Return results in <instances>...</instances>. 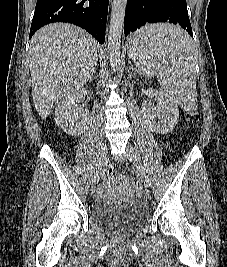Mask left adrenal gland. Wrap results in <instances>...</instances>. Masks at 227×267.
I'll return each mask as SVG.
<instances>
[{
	"mask_svg": "<svg viewBox=\"0 0 227 267\" xmlns=\"http://www.w3.org/2000/svg\"><path fill=\"white\" fill-rule=\"evenodd\" d=\"M129 64L131 65V66H130V70H131V71H137L135 68H133V65H132L131 62H129Z\"/></svg>",
	"mask_w": 227,
	"mask_h": 267,
	"instance_id": "a2214340",
	"label": "left adrenal gland"
}]
</instances>
